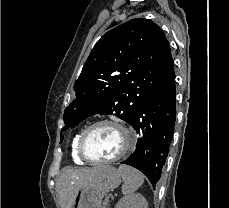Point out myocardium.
Wrapping results in <instances>:
<instances>
[{
    "instance_id": "f54148a6",
    "label": "myocardium",
    "mask_w": 229,
    "mask_h": 208,
    "mask_svg": "<svg viewBox=\"0 0 229 208\" xmlns=\"http://www.w3.org/2000/svg\"><path fill=\"white\" fill-rule=\"evenodd\" d=\"M103 125H112L120 128L126 134L127 142H125L126 140L124 138L121 140L123 143L125 142L124 143L125 147L115 157H111V160H90V157H87V153H86V139L92 130ZM134 145H135V137L133 133L123 123L112 119L99 120L89 125L81 133V136L79 138V143H78V148L80 152L78 154V157L84 158L86 161L90 163H96V164L113 163L125 157L133 149Z\"/></svg>"
}]
</instances>
